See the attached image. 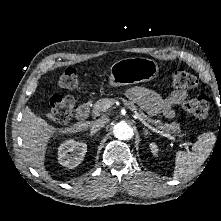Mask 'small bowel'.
<instances>
[{
  "instance_id": "c3829d8e",
  "label": "small bowel",
  "mask_w": 221,
  "mask_h": 221,
  "mask_svg": "<svg viewBox=\"0 0 221 221\" xmlns=\"http://www.w3.org/2000/svg\"><path fill=\"white\" fill-rule=\"evenodd\" d=\"M127 96L149 115L162 114L167 118H173L175 113L172 107L187 101L188 94L185 90H175L165 99H161L156 92L136 86L127 91Z\"/></svg>"
}]
</instances>
